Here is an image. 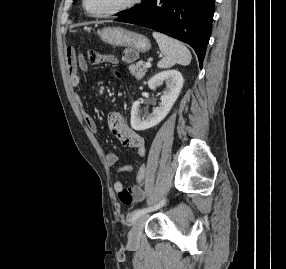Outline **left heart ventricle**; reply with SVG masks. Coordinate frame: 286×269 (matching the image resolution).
<instances>
[{
	"label": "left heart ventricle",
	"instance_id": "b2bd125f",
	"mask_svg": "<svg viewBox=\"0 0 286 269\" xmlns=\"http://www.w3.org/2000/svg\"><path fill=\"white\" fill-rule=\"evenodd\" d=\"M128 0H88L87 5L91 12L102 13L122 6Z\"/></svg>",
	"mask_w": 286,
	"mask_h": 269
}]
</instances>
